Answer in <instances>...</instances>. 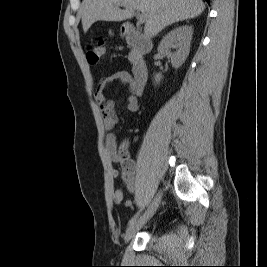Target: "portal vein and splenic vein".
<instances>
[{"label": "portal vein and splenic vein", "instance_id": "portal-vein-and-splenic-vein-1", "mask_svg": "<svg viewBox=\"0 0 267 267\" xmlns=\"http://www.w3.org/2000/svg\"><path fill=\"white\" fill-rule=\"evenodd\" d=\"M116 5L122 6V4H120V3H116ZM135 14H136V17L138 18L140 23H144L145 22V20L147 18V15L145 13H135Z\"/></svg>", "mask_w": 267, "mask_h": 267}]
</instances>
